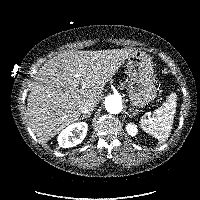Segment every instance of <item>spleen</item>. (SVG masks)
Masks as SVG:
<instances>
[{
  "mask_svg": "<svg viewBox=\"0 0 200 200\" xmlns=\"http://www.w3.org/2000/svg\"><path fill=\"white\" fill-rule=\"evenodd\" d=\"M176 100L177 95L171 93L167 101L156 109L151 117L140 120L141 128L159 141H166L172 131L177 106Z\"/></svg>",
  "mask_w": 200,
  "mask_h": 200,
  "instance_id": "1",
  "label": "spleen"
}]
</instances>
